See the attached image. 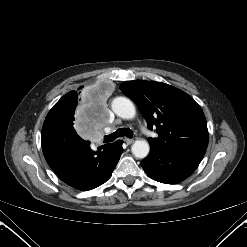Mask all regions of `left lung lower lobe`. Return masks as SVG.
I'll list each match as a JSON object with an SVG mask.
<instances>
[{
	"label": "left lung lower lobe",
	"mask_w": 247,
	"mask_h": 247,
	"mask_svg": "<svg viewBox=\"0 0 247 247\" xmlns=\"http://www.w3.org/2000/svg\"><path fill=\"white\" fill-rule=\"evenodd\" d=\"M205 150V147L195 145H183L174 149L150 145V153L143 159L141 166L152 179L165 184H176L196 170Z\"/></svg>",
	"instance_id": "left-lung-lower-lobe-1"
}]
</instances>
